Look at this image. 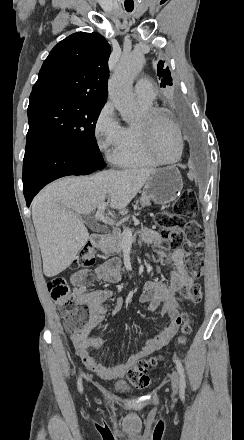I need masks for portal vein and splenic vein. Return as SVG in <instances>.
Returning <instances> with one entry per match:
<instances>
[{
  "mask_svg": "<svg viewBox=\"0 0 244 440\" xmlns=\"http://www.w3.org/2000/svg\"><path fill=\"white\" fill-rule=\"evenodd\" d=\"M102 208H104V206H99L98 212L97 214H95L96 220H101V222H104V224H110V226H113L114 224L113 220H110V218L104 216L103 214L104 210H102ZM127 230H129V228H127Z\"/></svg>",
  "mask_w": 244,
  "mask_h": 440,
  "instance_id": "obj_1",
  "label": "portal vein and splenic vein"
}]
</instances>
